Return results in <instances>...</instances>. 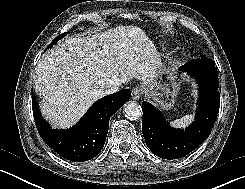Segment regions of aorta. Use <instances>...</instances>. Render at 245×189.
I'll list each match as a JSON object with an SVG mask.
<instances>
[{"instance_id":"1","label":"aorta","mask_w":245,"mask_h":189,"mask_svg":"<svg viewBox=\"0 0 245 189\" xmlns=\"http://www.w3.org/2000/svg\"><path fill=\"white\" fill-rule=\"evenodd\" d=\"M125 117L131 120H138L142 115V108L134 101L128 102L124 108Z\"/></svg>"}]
</instances>
